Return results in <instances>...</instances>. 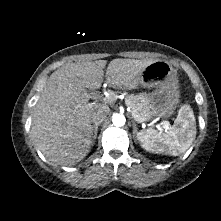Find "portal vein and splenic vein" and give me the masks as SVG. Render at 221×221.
Wrapping results in <instances>:
<instances>
[{
  "label": "portal vein and splenic vein",
  "instance_id": "1",
  "mask_svg": "<svg viewBox=\"0 0 221 221\" xmlns=\"http://www.w3.org/2000/svg\"><path fill=\"white\" fill-rule=\"evenodd\" d=\"M133 118L135 119V121H137L138 123L143 122V120L137 115V114H132ZM164 127L168 128L169 122L168 121H164Z\"/></svg>",
  "mask_w": 221,
  "mask_h": 221
}]
</instances>
